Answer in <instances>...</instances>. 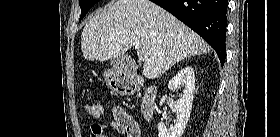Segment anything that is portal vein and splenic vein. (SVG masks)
<instances>
[{
	"label": "portal vein and splenic vein",
	"mask_w": 280,
	"mask_h": 137,
	"mask_svg": "<svg viewBox=\"0 0 280 137\" xmlns=\"http://www.w3.org/2000/svg\"><path fill=\"white\" fill-rule=\"evenodd\" d=\"M133 45L135 46V48H138V47H139V44L136 43V42H135Z\"/></svg>",
	"instance_id": "portal-vein-and-splenic-vein-1"
}]
</instances>
